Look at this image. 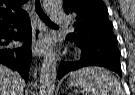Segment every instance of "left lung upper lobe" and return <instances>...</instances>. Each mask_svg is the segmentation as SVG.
Listing matches in <instances>:
<instances>
[{
  "label": "left lung upper lobe",
  "instance_id": "5c2ea615",
  "mask_svg": "<svg viewBox=\"0 0 135 95\" xmlns=\"http://www.w3.org/2000/svg\"><path fill=\"white\" fill-rule=\"evenodd\" d=\"M64 10L76 15L72 24L75 29L67 35V40L81 45L100 41L117 43L103 0H64Z\"/></svg>",
  "mask_w": 135,
  "mask_h": 95
}]
</instances>
